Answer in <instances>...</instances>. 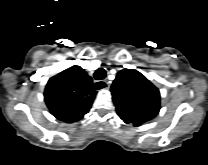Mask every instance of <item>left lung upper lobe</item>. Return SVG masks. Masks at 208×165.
I'll use <instances>...</instances> for the list:
<instances>
[{"mask_svg": "<svg viewBox=\"0 0 208 165\" xmlns=\"http://www.w3.org/2000/svg\"><path fill=\"white\" fill-rule=\"evenodd\" d=\"M117 114L127 124L140 126L160 110V92L134 69L121 70L110 89Z\"/></svg>", "mask_w": 208, "mask_h": 165, "instance_id": "5c2ea615", "label": "left lung upper lobe"}]
</instances>
